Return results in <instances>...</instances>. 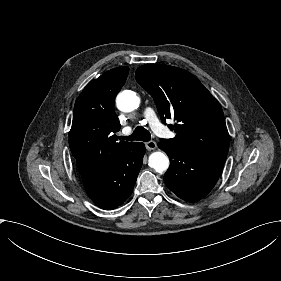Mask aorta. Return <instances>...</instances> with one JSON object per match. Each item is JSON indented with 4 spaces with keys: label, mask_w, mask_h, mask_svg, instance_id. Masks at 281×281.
I'll use <instances>...</instances> for the list:
<instances>
[{
    "label": "aorta",
    "mask_w": 281,
    "mask_h": 281,
    "mask_svg": "<svg viewBox=\"0 0 281 281\" xmlns=\"http://www.w3.org/2000/svg\"><path fill=\"white\" fill-rule=\"evenodd\" d=\"M140 98L131 90L120 92L116 97L117 108L122 112H132L139 107ZM148 165L156 172H164L169 167V158L161 151L153 152L149 156Z\"/></svg>",
    "instance_id": "1"
}]
</instances>
